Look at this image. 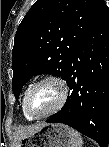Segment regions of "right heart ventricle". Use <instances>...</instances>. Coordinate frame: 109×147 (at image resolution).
Segmentation results:
<instances>
[{"instance_id":"right-heart-ventricle-1","label":"right heart ventricle","mask_w":109,"mask_h":147,"mask_svg":"<svg viewBox=\"0 0 109 147\" xmlns=\"http://www.w3.org/2000/svg\"><path fill=\"white\" fill-rule=\"evenodd\" d=\"M27 90H28V89H27ZM27 90L25 91V93H24V95H23V98H22L21 109H22V112H23L25 118L31 121V120H33L34 118L31 117V116H29V115L25 112L24 107H23V99H24V96H25Z\"/></svg>"}]
</instances>
